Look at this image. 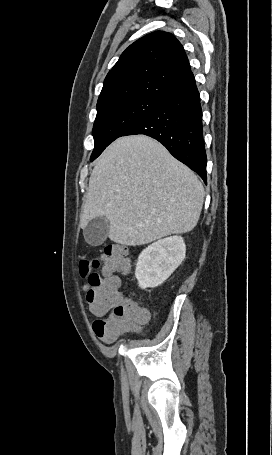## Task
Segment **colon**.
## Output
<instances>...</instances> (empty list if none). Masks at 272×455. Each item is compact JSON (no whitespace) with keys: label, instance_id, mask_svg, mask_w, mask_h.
<instances>
[{"label":"colon","instance_id":"colon-1","mask_svg":"<svg viewBox=\"0 0 272 455\" xmlns=\"http://www.w3.org/2000/svg\"><path fill=\"white\" fill-rule=\"evenodd\" d=\"M129 265L128 250L116 244L107 245L98 257L79 263L89 311L99 317L93 322V331L106 343L136 330L147 317L143 308L134 300L123 298L119 291V279L115 274L126 273Z\"/></svg>","mask_w":272,"mask_h":455}]
</instances>
